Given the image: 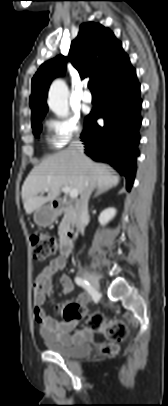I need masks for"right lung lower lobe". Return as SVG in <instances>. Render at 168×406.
<instances>
[{"mask_svg":"<svg viewBox=\"0 0 168 406\" xmlns=\"http://www.w3.org/2000/svg\"><path fill=\"white\" fill-rule=\"evenodd\" d=\"M100 106L86 117L81 138L85 154L95 161L109 163L126 177V188L133 185L136 157L139 155L141 125L140 84L135 69L125 70L98 89ZM103 118L99 126L96 119Z\"/></svg>","mask_w":168,"mask_h":406,"instance_id":"right-lung-lower-lobe-1","label":"right lung lower lobe"}]
</instances>
